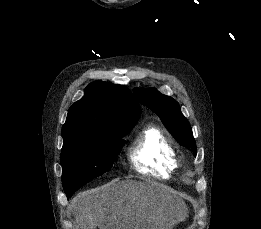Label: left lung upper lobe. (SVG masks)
<instances>
[{
	"instance_id": "obj_1",
	"label": "left lung upper lobe",
	"mask_w": 261,
	"mask_h": 229,
	"mask_svg": "<svg viewBox=\"0 0 261 229\" xmlns=\"http://www.w3.org/2000/svg\"><path fill=\"white\" fill-rule=\"evenodd\" d=\"M135 98L155 112L177 142L187 149L195 150L196 143L188 120L183 116L178 102L156 89L133 90ZM196 156V150L193 153Z\"/></svg>"
}]
</instances>
